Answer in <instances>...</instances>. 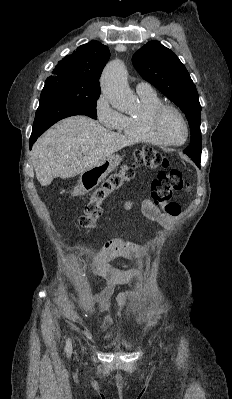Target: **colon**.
<instances>
[{
    "label": "colon",
    "mask_w": 232,
    "mask_h": 399,
    "mask_svg": "<svg viewBox=\"0 0 232 399\" xmlns=\"http://www.w3.org/2000/svg\"><path fill=\"white\" fill-rule=\"evenodd\" d=\"M143 166L151 168H164V159L162 153L149 145L140 148L134 155L128 166L122 171H118L113 177L104 180V185L98 186L82 209V215L76 219V224L80 228L96 227L94 222L104 214V209L99 204L104 198L109 197L119 188L120 185H127L128 181L136 176ZM154 185L151 186L152 194H161L162 196H174L176 191L180 194L188 193L187 180H183V175H154ZM153 203H162V212L167 214L168 218H179L183 213L182 203H168V198H153ZM73 236H78V231H73Z\"/></svg>",
    "instance_id": "5ec220e1"
}]
</instances>
